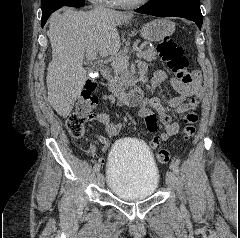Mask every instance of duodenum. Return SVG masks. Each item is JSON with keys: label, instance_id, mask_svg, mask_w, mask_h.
I'll use <instances>...</instances> for the list:
<instances>
[{"label": "duodenum", "instance_id": "410a0bca", "mask_svg": "<svg viewBox=\"0 0 240 238\" xmlns=\"http://www.w3.org/2000/svg\"><path fill=\"white\" fill-rule=\"evenodd\" d=\"M100 71L104 78L109 80V73L105 66H100ZM145 76L142 75L141 80L144 81ZM111 92L118 98V100L128 106L138 105L143 99V91L140 86H133L129 89H124L120 86L110 83Z\"/></svg>", "mask_w": 240, "mask_h": 238}]
</instances>
